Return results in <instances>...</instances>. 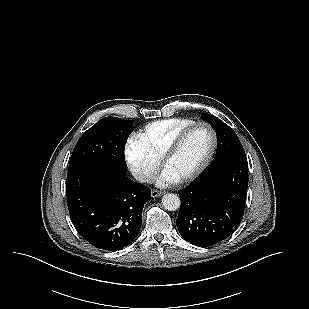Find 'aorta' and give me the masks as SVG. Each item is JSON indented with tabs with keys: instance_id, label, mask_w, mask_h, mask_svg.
Wrapping results in <instances>:
<instances>
[{
	"instance_id": "1",
	"label": "aorta",
	"mask_w": 309,
	"mask_h": 309,
	"mask_svg": "<svg viewBox=\"0 0 309 309\" xmlns=\"http://www.w3.org/2000/svg\"><path fill=\"white\" fill-rule=\"evenodd\" d=\"M180 204V198L176 194L168 193L162 197V205L169 211L177 210Z\"/></svg>"
}]
</instances>
